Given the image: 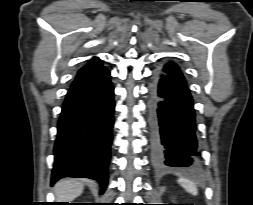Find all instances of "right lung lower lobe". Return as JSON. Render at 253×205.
<instances>
[{
	"mask_svg": "<svg viewBox=\"0 0 253 205\" xmlns=\"http://www.w3.org/2000/svg\"><path fill=\"white\" fill-rule=\"evenodd\" d=\"M114 87L101 60L79 70L65 97L54 146L52 184L62 177H88L108 183Z\"/></svg>",
	"mask_w": 253,
	"mask_h": 205,
	"instance_id": "right-lung-lower-lobe-1",
	"label": "right lung lower lobe"
}]
</instances>
